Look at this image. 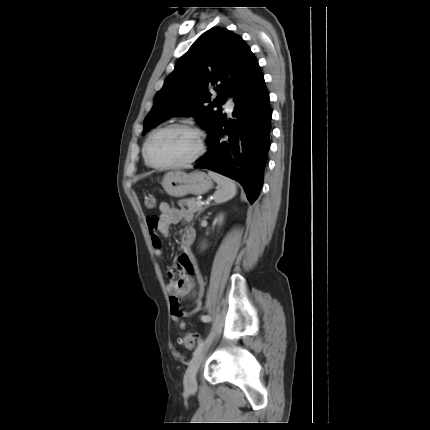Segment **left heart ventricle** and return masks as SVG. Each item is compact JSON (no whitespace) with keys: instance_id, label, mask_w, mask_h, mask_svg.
I'll return each instance as SVG.
<instances>
[{"instance_id":"obj_1","label":"left heart ventricle","mask_w":430,"mask_h":430,"mask_svg":"<svg viewBox=\"0 0 430 430\" xmlns=\"http://www.w3.org/2000/svg\"><path fill=\"white\" fill-rule=\"evenodd\" d=\"M198 149L197 135L174 128L156 136L150 145V157L158 164H172L192 157Z\"/></svg>"}]
</instances>
